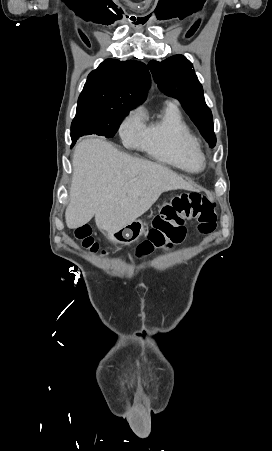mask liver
I'll list each match as a JSON object with an SVG mask.
<instances>
[{"mask_svg": "<svg viewBox=\"0 0 272 451\" xmlns=\"http://www.w3.org/2000/svg\"><path fill=\"white\" fill-rule=\"evenodd\" d=\"M72 168L67 227L84 226L95 216L98 229L115 231L145 214L162 192L193 190L166 166L132 158L99 138L75 146Z\"/></svg>", "mask_w": 272, "mask_h": 451, "instance_id": "liver-1", "label": "liver"}]
</instances>
